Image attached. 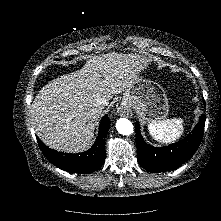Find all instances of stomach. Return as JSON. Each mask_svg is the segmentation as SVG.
Returning a JSON list of instances; mask_svg holds the SVG:
<instances>
[{"mask_svg": "<svg viewBox=\"0 0 221 221\" xmlns=\"http://www.w3.org/2000/svg\"><path fill=\"white\" fill-rule=\"evenodd\" d=\"M122 105L135 109L148 123L162 121L169 111L168 99L163 88L140 75L138 80L124 92Z\"/></svg>", "mask_w": 221, "mask_h": 221, "instance_id": "stomach-1", "label": "stomach"}]
</instances>
